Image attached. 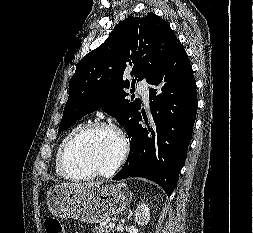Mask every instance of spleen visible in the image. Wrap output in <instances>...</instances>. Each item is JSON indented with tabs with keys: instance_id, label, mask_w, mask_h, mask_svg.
<instances>
[{
	"instance_id": "obj_1",
	"label": "spleen",
	"mask_w": 253,
	"mask_h": 233,
	"mask_svg": "<svg viewBox=\"0 0 253 233\" xmlns=\"http://www.w3.org/2000/svg\"><path fill=\"white\" fill-rule=\"evenodd\" d=\"M119 186H120V187H121V186H125V184H122V185H119Z\"/></svg>"
}]
</instances>
